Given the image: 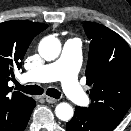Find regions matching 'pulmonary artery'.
<instances>
[{
    "label": "pulmonary artery",
    "mask_w": 131,
    "mask_h": 131,
    "mask_svg": "<svg viewBox=\"0 0 131 131\" xmlns=\"http://www.w3.org/2000/svg\"><path fill=\"white\" fill-rule=\"evenodd\" d=\"M81 42L69 39L64 43L61 55L51 63L40 66L23 74L26 82L61 81L65 94L79 105H87L89 97L77 81V72L81 62Z\"/></svg>",
    "instance_id": "pulmonary-artery-1"
}]
</instances>
